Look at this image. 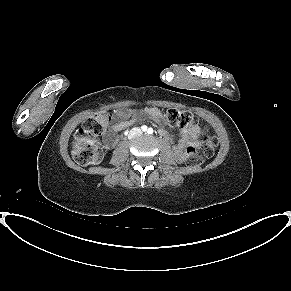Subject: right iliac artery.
Instances as JSON below:
<instances>
[{"instance_id": "right-iliac-artery-1", "label": "right iliac artery", "mask_w": 291, "mask_h": 291, "mask_svg": "<svg viewBox=\"0 0 291 291\" xmlns=\"http://www.w3.org/2000/svg\"><path fill=\"white\" fill-rule=\"evenodd\" d=\"M141 129H142L143 131H146V130H147V126L143 125V126L141 127Z\"/></svg>"}]
</instances>
